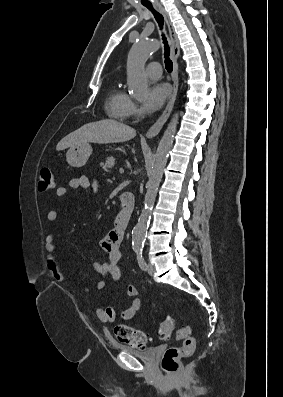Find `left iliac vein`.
<instances>
[{
  "label": "left iliac vein",
  "mask_w": 283,
  "mask_h": 397,
  "mask_svg": "<svg viewBox=\"0 0 283 397\" xmlns=\"http://www.w3.org/2000/svg\"><path fill=\"white\" fill-rule=\"evenodd\" d=\"M154 271H155V268H154L153 264L148 263V264H147V272H148V274H149V275H153V274H154Z\"/></svg>",
  "instance_id": "4c4485c4"
}]
</instances>
